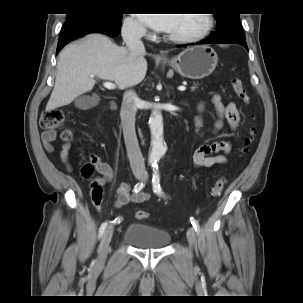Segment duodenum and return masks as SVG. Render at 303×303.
<instances>
[{"instance_id":"1","label":"duodenum","mask_w":303,"mask_h":303,"mask_svg":"<svg viewBox=\"0 0 303 303\" xmlns=\"http://www.w3.org/2000/svg\"><path fill=\"white\" fill-rule=\"evenodd\" d=\"M111 107H112V109H116V103L113 102Z\"/></svg>"}]
</instances>
